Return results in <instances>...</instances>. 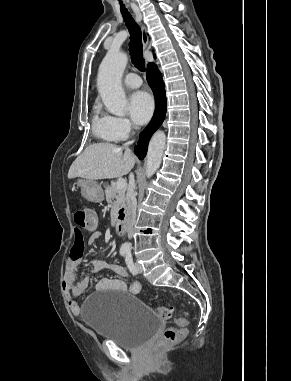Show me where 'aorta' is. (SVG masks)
Instances as JSON below:
<instances>
[{"label":"aorta","mask_w":291,"mask_h":381,"mask_svg":"<svg viewBox=\"0 0 291 381\" xmlns=\"http://www.w3.org/2000/svg\"><path fill=\"white\" fill-rule=\"evenodd\" d=\"M128 57L125 53L110 50L101 62L98 70V92L106 109L113 115L126 114L127 100L121 86V79ZM166 143L163 131H157L151 138L147 152L146 176L150 178L159 168ZM124 246H129L125 244Z\"/></svg>","instance_id":"762f6f07"}]
</instances>
